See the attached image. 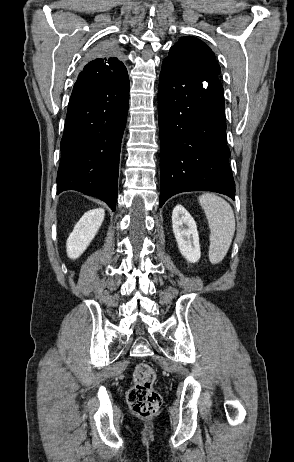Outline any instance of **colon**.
I'll return each instance as SVG.
<instances>
[{"label": "colon", "mask_w": 294, "mask_h": 462, "mask_svg": "<svg viewBox=\"0 0 294 462\" xmlns=\"http://www.w3.org/2000/svg\"><path fill=\"white\" fill-rule=\"evenodd\" d=\"M156 373L148 363H139L133 373V386L127 394V402L134 413L149 417L158 412L161 395L153 388Z\"/></svg>", "instance_id": "colon-1"}]
</instances>
